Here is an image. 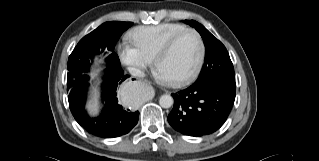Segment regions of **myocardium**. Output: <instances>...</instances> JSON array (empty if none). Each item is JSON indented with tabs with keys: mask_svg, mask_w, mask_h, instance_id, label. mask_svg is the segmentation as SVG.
Masks as SVG:
<instances>
[{
	"mask_svg": "<svg viewBox=\"0 0 319 161\" xmlns=\"http://www.w3.org/2000/svg\"><path fill=\"white\" fill-rule=\"evenodd\" d=\"M194 34L197 42H198V46H199V54H198V58L197 61L194 65V67L192 68L191 71H189L188 73H186L183 76L177 77V78H172V79H166L165 81L173 86H178V85H182L185 84L187 82H189L190 80H192L200 71L203 61H204V57H205V45H204V41L202 36L200 35V33L195 30V29H186L183 30L177 34H175L174 36H172L164 45L163 47L160 49V51L157 53V55L154 58V68L155 70H158V66L160 64V62L172 51V49L174 48V46L176 45V43L186 34Z\"/></svg>",
	"mask_w": 319,
	"mask_h": 161,
	"instance_id": "f54148a6",
	"label": "myocardium"
}]
</instances>
